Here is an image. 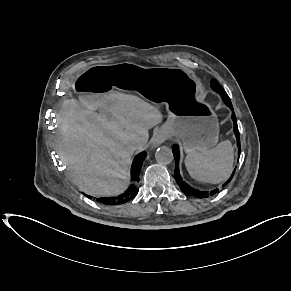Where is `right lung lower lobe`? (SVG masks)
<instances>
[{"mask_svg":"<svg viewBox=\"0 0 291 291\" xmlns=\"http://www.w3.org/2000/svg\"><path fill=\"white\" fill-rule=\"evenodd\" d=\"M146 156L147 153L143 151L134 158L131 167V185L124 193L114 197L97 198L96 200L105 205H120L132 200L139 191L137 183L139 182V174L142 167V162ZM88 197L92 198L91 196Z\"/></svg>","mask_w":291,"mask_h":291,"instance_id":"right-lung-lower-lobe-1","label":"right lung lower lobe"}]
</instances>
